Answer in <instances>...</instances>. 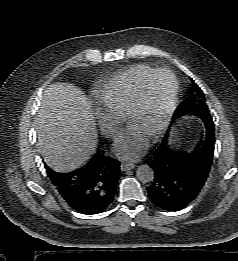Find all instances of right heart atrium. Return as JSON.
Masks as SVG:
<instances>
[{
	"mask_svg": "<svg viewBox=\"0 0 238 261\" xmlns=\"http://www.w3.org/2000/svg\"><path fill=\"white\" fill-rule=\"evenodd\" d=\"M95 118L99 130L106 137H112L125 119L124 116L113 114L102 107L95 110Z\"/></svg>",
	"mask_w": 238,
	"mask_h": 261,
	"instance_id": "1",
	"label": "right heart atrium"
}]
</instances>
